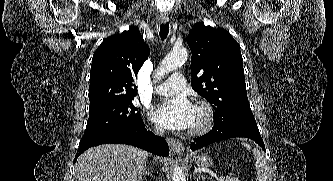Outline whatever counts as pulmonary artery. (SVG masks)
<instances>
[{
  "mask_svg": "<svg viewBox=\"0 0 333 181\" xmlns=\"http://www.w3.org/2000/svg\"><path fill=\"white\" fill-rule=\"evenodd\" d=\"M185 86V78L181 74H173L169 79L160 84L155 93L160 96H169L178 93Z\"/></svg>",
  "mask_w": 333,
  "mask_h": 181,
  "instance_id": "pulmonary-artery-1",
  "label": "pulmonary artery"
}]
</instances>
